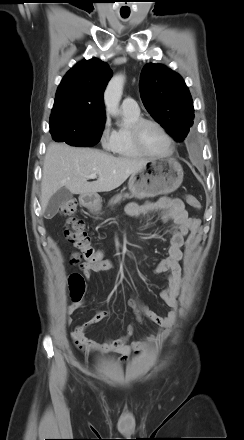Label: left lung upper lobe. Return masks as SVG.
<instances>
[{
	"mask_svg": "<svg viewBox=\"0 0 244 440\" xmlns=\"http://www.w3.org/2000/svg\"><path fill=\"white\" fill-rule=\"evenodd\" d=\"M143 104L176 140H183L193 124L194 107L182 77L161 64H147L139 82Z\"/></svg>",
	"mask_w": 244,
	"mask_h": 440,
	"instance_id": "left-lung-upper-lobe-1",
	"label": "left lung upper lobe"
}]
</instances>
